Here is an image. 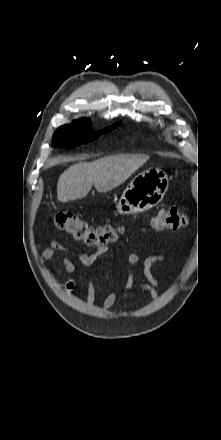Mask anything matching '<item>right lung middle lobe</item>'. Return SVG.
Masks as SVG:
<instances>
[{
  "mask_svg": "<svg viewBox=\"0 0 221 440\" xmlns=\"http://www.w3.org/2000/svg\"><path fill=\"white\" fill-rule=\"evenodd\" d=\"M90 120L82 119L74 121L70 125H64L57 129L53 135V146L57 147H76L86 142H91L101 134L109 132L120 123L112 125L101 132L94 133L90 127Z\"/></svg>",
  "mask_w": 221,
  "mask_h": 440,
  "instance_id": "1",
  "label": "right lung middle lobe"
}]
</instances>
